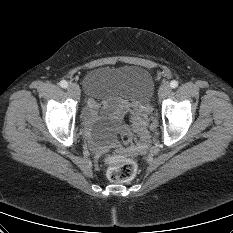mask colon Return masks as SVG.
<instances>
[{
  "instance_id": "1",
  "label": "colon",
  "mask_w": 233,
  "mask_h": 233,
  "mask_svg": "<svg viewBox=\"0 0 233 233\" xmlns=\"http://www.w3.org/2000/svg\"><path fill=\"white\" fill-rule=\"evenodd\" d=\"M150 121V107L142 106L139 108L133 118V126L138 134V140L134 149L140 150L147 146L149 142L148 124ZM107 174L110 180L115 182H125L132 179L137 171L136 163L129 159L119 156H110L107 158Z\"/></svg>"
}]
</instances>
